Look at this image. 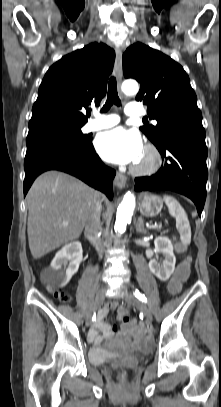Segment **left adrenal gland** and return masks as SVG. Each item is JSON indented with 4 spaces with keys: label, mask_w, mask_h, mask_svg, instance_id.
Masks as SVG:
<instances>
[{
    "label": "left adrenal gland",
    "mask_w": 221,
    "mask_h": 407,
    "mask_svg": "<svg viewBox=\"0 0 221 407\" xmlns=\"http://www.w3.org/2000/svg\"><path fill=\"white\" fill-rule=\"evenodd\" d=\"M136 231L139 233H146V230L144 229V222L142 217L138 218L137 224H136Z\"/></svg>",
    "instance_id": "obj_1"
}]
</instances>
